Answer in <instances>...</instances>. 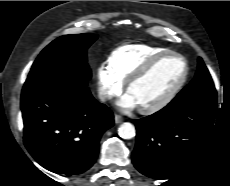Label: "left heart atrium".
<instances>
[{
	"label": "left heart atrium",
	"instance_id": "39dd6f15",
	"mask_svg": "<svg viewBox=\"0 0 230 186\" xmlns=\"http://www.w3.org/2000/svg\"><path fill=\"white\" fill-rule=\"evenodd\" d=\"M118 104L121 108L127 109V110L134 109V108L138 107L137 103L135 102V100L133 99V97L129 93L124 95Z\"/></svg>",
	"mask_w": 230,
	"mask_h": 186
}]
</instances>
